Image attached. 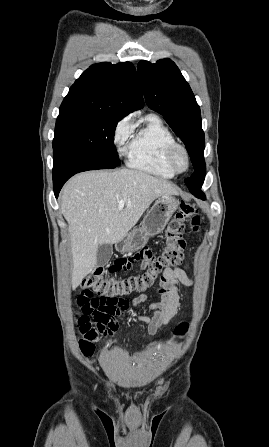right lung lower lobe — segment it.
Masks as SVG:
<instances>
[{
  "label": "right lung lower lobe",
  "mask_w": 269,
  "mask_h": 447,
  "mask_svg": "<svg viewBox=\"0 0 269 447\" xmlns=\"http://www.w3.org/2000/svg\"><path fill=\"white\" fill-rule=\"evenodd\" d=\"M115 167L114 165L62 152L54 154L53 186L55 197H58L64 183L74 174L87 170L112 169Z\"/></svg>",
  "instance_id": "obj_1"
}]
</instances>
